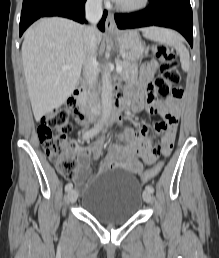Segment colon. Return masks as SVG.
<instances>
[{"label": "colon", "instance_id": "obj_1", "mask_svg": "<svg viewBox=\"0 0 219 258\" xmlns=\"http://www.w3.org/2000/svg\"><path fill=\"white\" fill-rule=\"evenodd\" d=\"M151 52L161 61L160 74L153 81L157 93L161 97L181 96V71L173 51L167 45L158 43L151 47ZM72 130L68 113L64 110H53L45 114L41 117L38 127V137L46 155L68 179H72L78 171V162L72 153L74 144L68 138ZM162 167L163 162H158L141 173L140 180L148 182L159 174Z\"/></svg>", "mask_w": 219, "mask_h": 258}]
</instances>
